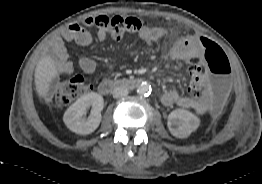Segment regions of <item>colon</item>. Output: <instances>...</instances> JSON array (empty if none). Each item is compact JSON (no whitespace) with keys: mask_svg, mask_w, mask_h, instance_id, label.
Listing matches in <instances>:
<instances>
[{"mask_svg":"<svg viewBox=\"0 0 262 184\" xmlns=\"http://www.w3.org/2000/svg\"><path fill=\"white\" fill-rule=\"evenodd\" d=\"M85 24L96 26L116 40L140 33L146 26L145 22L138 18L121 15L88 18ZM201 42L204 48L203 68L208 77L201 81L196 80L190 88L194 94L208 98L212 113L219 116L223 113L229 97L231 66L219 45L208 39H202ZM89 88L84 77L75 76L60 84L55 92L54 101L58 105H67L84 95Z\"/></svg>","mask_w":262,"mask_h":184,"instance_id":"5ec220e1","label":"colon"}]
</instances>
